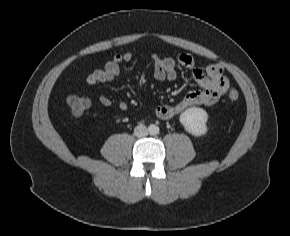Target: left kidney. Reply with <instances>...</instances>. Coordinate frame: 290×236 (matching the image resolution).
Returning a JSON list of instances; mask_svg holds the SVG:
<instances>
[{"label":"left kidney","instance_id":"obj_1","mask_svg":"<svg viewBox=\"0 0 290 236\" xmlns=\"http://www.w3.org/2000/svg\"><path fill=\"white\" fill-rule=\"evenodd\" d=\"M180 123L185 130L193 136H202L207 132V112L198 107H191L181 113L179 117Z\"/></svg>","mask_w":290,"mask_h":236}]
</instances>
